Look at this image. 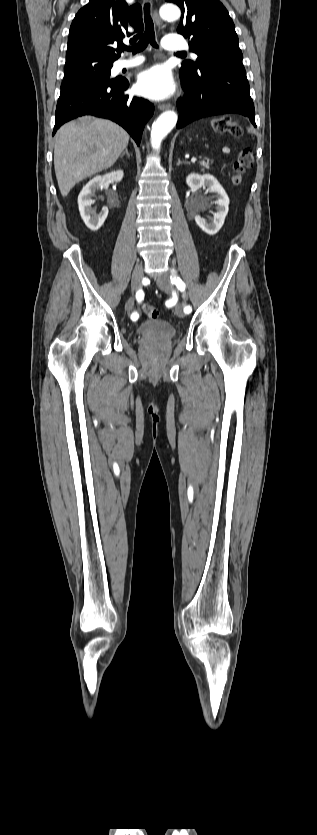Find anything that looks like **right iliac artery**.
I'll return each instance as SVG.
<instances>
[{
    "instance_id": "right-iliac-artery-1",
    "label": "right iliac artery",
    "mask_w": 317,
    "mask_h": 835,
    "mask_svg": "<svg viewBox=\"0 0 317 835\" xmlns=\"http://www.w3.org/2000/svg\"><path fill=\"white\" fill-rule=\"evenodd\" d=\"M143 299H144V292L142 290L137 291L136 292V300L140 303V302H142ZM138 317H139V315L136 312L131 314V319L134 320V321L137 320Z\"/></svg>"
}]
</instances>
